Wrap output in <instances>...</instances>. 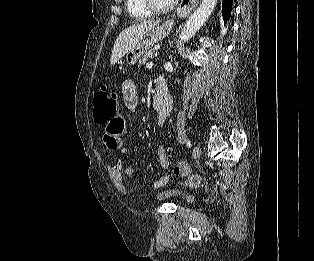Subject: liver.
Here are the masks:
<instances>
[{
  "label": "liver",
  "mask_w": 314,
  "mask_h": 261,
  "mask_svg": "<svg viewBox=\"0 0 314 261\" xmlns=\"http://www.w3.org/2000/svg\"><path fill=\"white\" fill-rule=\"evenodd\" d=\"M158 24L159 21H144L124 29L114 43L110 58L111 66L117 63L119 59L136 46Z\"/></svg>",
  "instance_id": "1"
}]
</instances>
